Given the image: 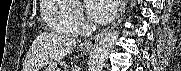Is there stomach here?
<instances>
[{
    "mask_svg": "<svg viewBox=\"0 0 181 71\" xmlns=\"http://www.w3.org/2000/svg\"><path fill=\"white\" fill-rule=\"evenodd\" d=\"M85 50H87V49H85ZM64 69L65 68H64L63 65H60V64L56 63V64H53V65L47 67L44 71H66Z\"/></svg>",
    "mask_w": 181,
    "mask_h": 71,
    "instance_id": "obj_1",
    "label": "stomach"
}]
</instances>
